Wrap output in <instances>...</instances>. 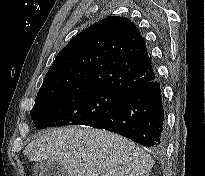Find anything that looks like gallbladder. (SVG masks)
I'll return each mask as SVG.
<instances>
[{"mask_svg": "<svg viewBox=\"0 0 205 176\" xmlns=\"http://www.w3.org/2000/svg\"><path fill=\"white\" fill-rule=\"evenodd\" d=\"M34 176H69L67 168L59 162H37L33 168Z\"/></svg>", "mask_w": 205, "mask_h": 176, "instance_id": "1", "label": "gallbladder"}]
</instances>
